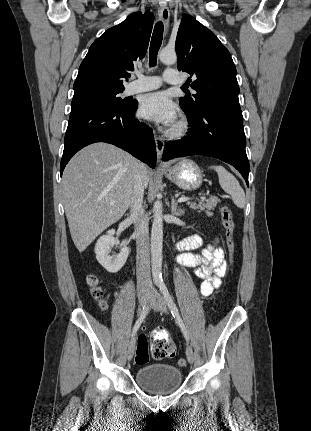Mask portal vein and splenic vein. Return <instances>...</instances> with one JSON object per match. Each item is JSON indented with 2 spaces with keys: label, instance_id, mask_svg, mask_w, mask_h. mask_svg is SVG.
<instances>
[{
  "label": "portal vein and splenic vein",
  "instance_id": "1",
  "mask_svg": "<svg viewBox=\"0 0 311 431\" xmlns=\"http://www.w3.org/2000/svg\"><path fill=\"white\" fill-rule=\"evenodd\" d=\"M189 200H192V198H178L177 202L180 204V202H189ZM114 202H110V206H113Z\"/></svg>",
  "mask_w": 311,
  "mask_h": 431
}]
</instances>
